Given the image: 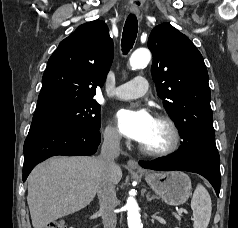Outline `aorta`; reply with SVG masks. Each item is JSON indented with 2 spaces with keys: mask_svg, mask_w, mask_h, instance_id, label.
<instances>
[{
  "mask_svg": "<svg viewBox=\"0 0 238 228\" xmlns=\"http://www.w3.org/2000/svg\"><path fill=\"white\" fill-rule=\"evenodd\" d=\"M151 59V53L146 48H140L133 52L129 59L132 70L140 69L148 65ZM127 210V223L129 228H143L139 208L136 199L129 196L125 205Z\"/></svg>",
  "mask_w": 238,
  "mask_h": 228,
  "instance_id": "1",
  "label": "aorta"
}]
</instances>
